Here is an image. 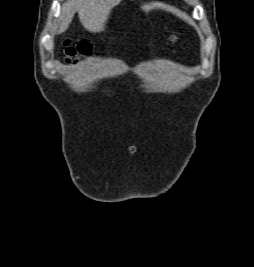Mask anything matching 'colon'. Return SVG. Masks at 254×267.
Wrapping results in <instances>:
<instances>
[{
  "mask_svg": "<svg viewBox=\"0 0 254 267\" xmlns=\"http://www.w3.org/2000/svg\"><path fill=\"white\" fill-rule=\"evenodd\" d=\"M65 46L66 60L68 62H75L80 56H88L92 50L90 43L86 41L73 45L67 40Z\"/></svg>",
  "mask_w": 254,
  "mask_h": 267,
  "instance_id": "1",
  "label": "colon"
}]
</instances>
